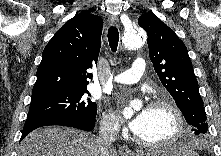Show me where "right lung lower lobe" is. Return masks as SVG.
<instances>
[{"mask_svg": "<svg viewBox=\"0 0 221 156\" xmlns=\"http://www.w3.org/2000/svg\"><path fill=\"white\" fill-rule=\"evenodd\" d=\"M95 119L96 118H87V117L27 118L20 140L24 139V137L34 129L49 125H62V126L74 127L84 131H91L95 126Z\"/></svg>", "mask_w": 221, "mask_h": 156, "instance_id": "98d812e1", "label": "right lung lower lobe"}]
</instances>
